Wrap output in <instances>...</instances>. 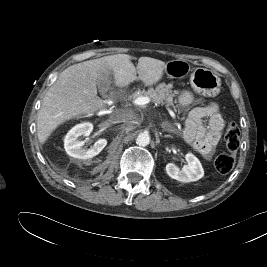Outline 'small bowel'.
<instances>
[{"mask_svg": "<svg viewBox=\"0 0 267 267\" xmlns=\"http://www.w3.org/2000/svg\"><path fill=\"white\" fill-rule=\"evenodd\" d=\"M190 92H183L178 102L187 106L193 102ZM224 120L216 103L210 102L192 109L185 122L184 139L197 152L209 157L213 154L221 137Z\"/></svg>", "mask_w": 267, "mask_h": 267, "instance_id": "c3829d8e", "label": "small bowel"}]
</instances>
